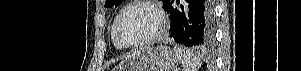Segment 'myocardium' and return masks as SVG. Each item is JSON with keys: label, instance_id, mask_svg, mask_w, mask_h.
Returning <instances> with one entry per match:
<instances>
[{"label": "myocardium", "instance_id": "f54148a6", "mask_svg": "<svg viewBox=\"0 0 301 71\" xmlns=\"http://www.w3.org/2000/svg\"><path fill=\"white\" fill-rule=\"evenodd\" d=\"M135 6H143V7L150 9L156 15L158 23H157V27H156L155 31L151 35L147 36L145 39L140 40L136 43H126L120 37L119 25H120V21H121L122 16L124 15V13L128 9L135 7ZM166 27H167L166 17L159 6H157L154 2H151V1L136 0V1H132V2L128 3L120 10V12L118 13V15L114 21V24H113V32H114L115 40L121 47L134 49V48H139V47H142V46H145V45L155 42L164 33Z\"/></svg>", "mask_w": 301, "mask_h": 71}]
</instances>
